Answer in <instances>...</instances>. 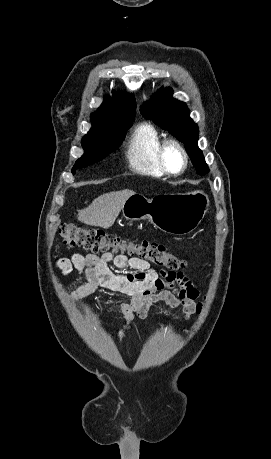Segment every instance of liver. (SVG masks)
Wrapping results in <instances>:
<instances>
[{
	"label": "liver",
	"mask_w": 271,
	"mask_h": 459,
	"mask_svg": "<svg viewBox=\"0 0 271 459\" xmlns=\"http://www.w3.org/2000/svg\"><path fill=\"white\" fill-rule=\"evenodd\" d=\"M131 190L122 192H110L96 198L88 208L79 210L78 220L87 226H98V228H111L118 218L121 208L128 198L134 196Z\"/></svg>",
	"instance_id": "liver-1"
}]
</instances>
